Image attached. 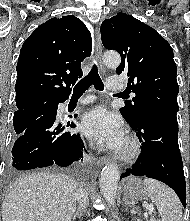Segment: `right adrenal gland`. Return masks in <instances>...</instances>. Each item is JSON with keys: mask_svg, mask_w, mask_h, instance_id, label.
Returning <instances> with one entry per match:
<instances>
[{"mask_svg": "<svg viewBox=\"0 0 190 221\" xmlns=\"http://www.w3.org/2000/svg\"><path fill=\"white\" fill-rule=\"evenodd\" d=\"M80 217H81V214H80L79 212H76V213L73 215L72 219L75 220L76 218H80Z\"/></svg>", "mask_w": 190, "mask_h": 221, "instance_id": "1", "label": "right adrenal gland"}]
</instances>
